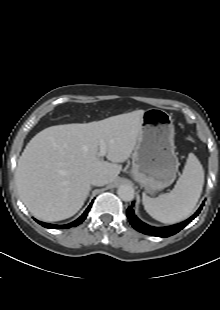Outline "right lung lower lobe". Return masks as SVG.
<instances>
[{"label": "right lung lower lobe", "mask_w": 220, "mask_h": 310, "mask_svg": "<svg viewBox=\"0 0 220 310\" xmlns=\"http://www.w3.org/2000/svg\"><path fill=\"white\" fill-rule=\"evenodd\" d=\"M91 206H92V203L88 206V208L85 210V212L77 220H75L74 222L69 223L67 225H53V224H48V223H44V222H40V221H37V222L40 225H42L43 227L52 228V229H64V228L75 227V226L81 224L85 220Z\"/></svg>", "instance_id": "1"}]
</instances>
